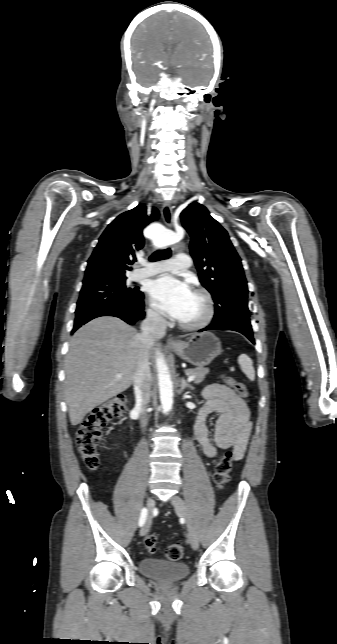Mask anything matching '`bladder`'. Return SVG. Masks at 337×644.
I'll list each match as a JSON object with an SVG mask.
<instances>
[{"label": "bladder", "mask_w": 337, "mask_h": 644, "mask_svg": "<svg viewBox=\"0 0 337 644\" xmlns=\"http://www.w3.org/2000/svg\"><path fill=\"white\" fill-rule=\"evenodd\" d=\"M139 570L146 577L169 583L184 579L190 572L189 566L184 562L166 561L148 557L140 560Z\"/></svg>", "instance_id": "obj_1"}]
</instances>
